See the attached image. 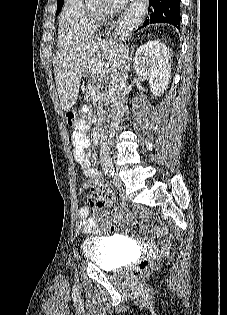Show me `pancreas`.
Listing matches in <instances>:
<instances>
[{"label":"pancreas","mask_w":227,"mask_h":315,"mask_svg":"<svg viewBox=\"0 0 227 315\" xmlns=\"http://www.w3.org/2000/svg\"><path fill=\"white\" fill-rule=\"evenodd\" d=\"M93 91L99 92V87L96 84L94 78L92 77L87 83L85 96L87 98L91 97L92 99H96L92 96ZM101 100H103V98Z\"/></svg>","instance_id":"pancreas-1"}]
</instances>
